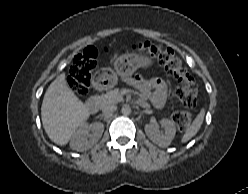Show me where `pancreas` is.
Segmentation results:
<instances>
[{
    "mask_svg": "<svg viewBox=\"0 0 248 194\" xmlns=\"http://www.w3.org/2000/svg\"><path fill=\"white\" fill-rule=\"evenodd\" d=\"M101 105L114 104L123 100V95L119 89H114L98 97Z\"/></svg>",
    "mask_w": 248,
    "mask_h": 194,
    "instance_id": "cf45deb5",
    "label": "pancreas"
}]
</instances>
